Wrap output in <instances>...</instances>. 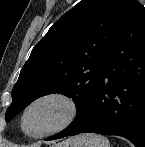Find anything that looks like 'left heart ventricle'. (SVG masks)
<instances>
[{
    "instance_id": "1",
    "label": "left heart ventricle",
    "mask_w": 145,
    "mask_h": 147,
    "mask_svg": "<svg viewBox=\"0 0 145 147\" xmlns=\"http://www.w3.org/2000/svg\"><path fill=\"white\" fill-rule=\"evenodd\" d=\"M67 114L66 107L58 101H48L35 106L26 118L28 130L38 132L60 124Z\"/></svg>"
}]
</instances>
